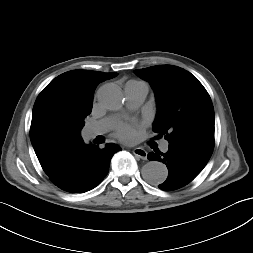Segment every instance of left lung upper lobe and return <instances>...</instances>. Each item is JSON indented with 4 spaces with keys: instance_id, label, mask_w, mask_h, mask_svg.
I'll return each mask as SVG.
<instances>
[{
    "instance_id": "left-lung-upper-lobe-1",
    "label": "left lung upper lobe",
    "mask_w": 253,
    "mask_h": 253,
    "mask_svg": "<svg viewBox=\"0 0 253 253\" xmlns=\"http://www.w3.org/2000/svg\"><path fill=\"white\" fill-rule=\"evenodd\" d=\"M154 89L153 131L168 142H189L213 150L214 108L209 94L190 72L172 65L136 70Z\"/></svg>"
}]
</instances>
